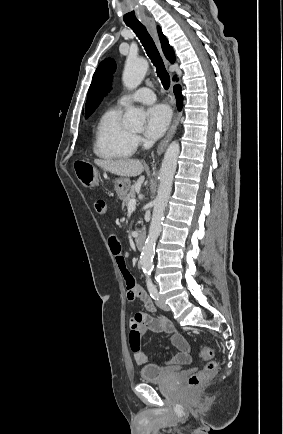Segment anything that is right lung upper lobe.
Wrapping results in <instances>:
<instances>
[{
  "label": "right lung upper lobe",
  "instance_id": "obj_1",
  "mask_svg": "<svg viewBox=\"0 0 283 434\" xmlns=\"http://www.w3.org/2000/svg\"><path fill=\"white\" fill-rule=\"evenodd\" d=\"M157 28H158V34L160 37V41H161L164 55L171 63H174V61H175L174 51H173L172 47L169 45L166 37L162 34L160 27L158 26Z\"/></svg>",
  "mask_w": 283,
  "mask_h": 434
}]
</instances>
